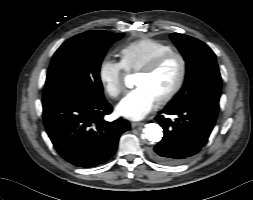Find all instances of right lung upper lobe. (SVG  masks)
<instances>
[{
    "label": "right lung upper lobe",
    "mask_w": 253,
    "mask_h": 200,
    "mask_svg": "<svg viewBox=\"0 0 253 200\" xmlns=\"http://www.w3.org/2000/svg\"><path fill=\"white\" fill-rule=\"evenodd\" d=\"M90 32H93L95 34H100V35H104V34L109 33L108 31H103V30H96V31H90Z\"/></svg>",
    "instance_id": "cb5924a9"
}]
</instances>
